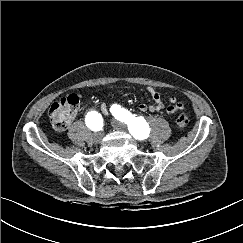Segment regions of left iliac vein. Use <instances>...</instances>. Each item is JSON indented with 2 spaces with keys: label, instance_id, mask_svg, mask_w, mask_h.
Wrapping results in <instances>:
<instances>
[{
  "label": "left iliac vein",
  "instance_id": "1",
  "mask_svg": "<svg viewBox=\"0 0 243 243\" xmlns=\"http://www.w3.org/2000/svg\"><path fill=\"white\" fill-rule=\"evenodd\" d=\"M111 125L114 129L121 130V131H125L127 128L126 124L115 119L112 120Z\"/></svg>",
  "mask_w": 243,
  "mask_h": 243
}]
</instances>
